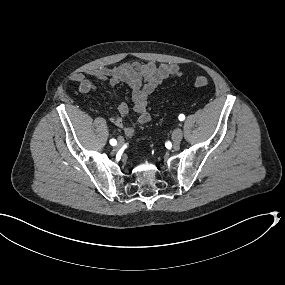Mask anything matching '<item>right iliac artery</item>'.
<instances>
[{
	"mask_svg": "<svg viewBox=\"0 0 285 285\" xmlns=\"http://www.w3.org/2000/svg\"><path fill=\"white\" fill-rule=\"evenodd\" d=\"M110 144H111L112 146H115V145L117 144V141H116L115 139H111V140H110Z\"/></svg>",
	"mask_w": 285,
	"mask_h": 285,
	"instance_id": "obj_1",
	"label": "right iliac artery"
}]
</instances>
